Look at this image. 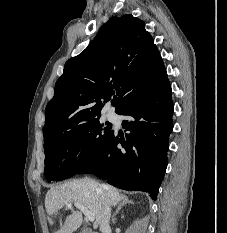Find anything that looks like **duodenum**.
Listing matches in <instances>:
<instances>
[{
    "label": "duodenum",
    "instance_id": "duodenum-1",
    "mask_svg": "<svg viewBox=\"0 0 227 233\" xmlns=\"http://www.w3.org/2000/svg\"><path fill=\"white\" fill-rule=\"evenodd\" d=\"M84 233H95V232H91V231H85Z\"/></svg>",
    "mask_w": 227,
    "mask_h": 233
}]
</instances>
